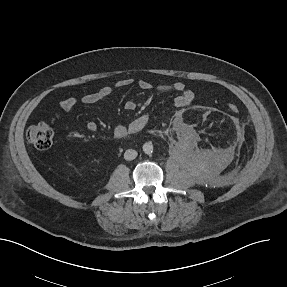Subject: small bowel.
<instances>
[{"label": "small bowel", "instance_id": "1", "mask_svg": "<svg viewBox=\"0 0 287 287\" xmlns=\"http://www.w3.org/2000/svg\"><path fill=\"white\" fill-rule=\"evenodd\" d=\"M132 83L133 80L130 78L121 79L118 82H116L114 86H105L96 92L85 94L81 98L68 97L59 103V107L63 111H69L79 102L86 104L95 103L100 100L109 98L113 94L115 89L125 88L127 86H130ZM138 85L142 90L146 91L154 90L156 92H162V93L165 92L175 93L176 96L174 98V105L175 107L178 108L188 106L194 99L193 91L188 89L185 86V84L181 81H175L171 84L153 86L150 82L141 80L139 81ZM125 108L129 111H133L136 109V103L133 101H127L125 103ZM149 120H150L149 115L143 114L135 118L127 125L114 124L111 130L112 135L116 139H123L129 135L137 134L147 127ZM87 128L90 131H95L97 129V125L95 122H89L87 124Z\"/></svg>", "mask_w": 287, "mask_h": 287}]
</instances>
